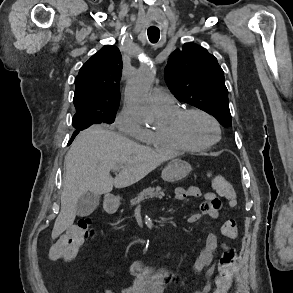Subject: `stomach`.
<instances>
[{"mask_svg":"<svg viewBox=\"0 0 293 293\" xmlns=\"http://www.w3.org/2000/svg\"><path fill=\"white\" fill-rule=\"evenodd\" d=\"M192 170L191 165L179 158L171 160L167 166L162 171V179L165 182H178L184 179ZM107 205L112 208L115 207L116 204L110 201L107 202Z\"/></svg>","mask_w":293,"mask_h":293,"instance_id":"1","label":"stomach"}]
</instances>
